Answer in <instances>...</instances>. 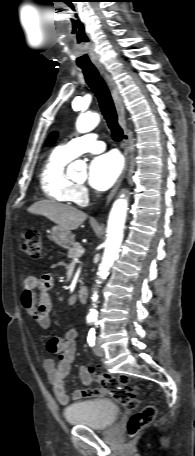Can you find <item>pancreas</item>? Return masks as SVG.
<instances>
[{
	"instance_id": "obj_1",
	"label": "pancreas",
	"mask_w": 195,
	"mask_h": 456,
	"mask_svg": "<svg viewBox=\"0 0 195 456\" xmlns=\"http://www.w3.org/2000/svg\"><path fill=\"white\" fill-rule=\"evenodd\" d=\"M81 245L79 243H74L71 248L68 250V258L73 259L74 257L77 256V249Z\"/></svg>"
}]
</instances>
